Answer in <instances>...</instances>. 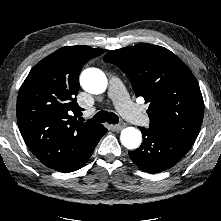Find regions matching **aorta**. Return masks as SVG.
<instances>
[{
    "instance_id": "1",
    "label": "aorta",
    "mask_w": 221,
    "mask_h": 221,
    "mask_svg": "<svg viewBox=\"0 0 221 221\" xmlns=\"http://www.w3.org/2000/svg\"><path fill=\"white\" fill-rule=\"evenodd\" d=\"M82 88L91 94H102L105 92L108 82L105 74L97 68H87L80 75ZM120 140L127 149H136L142 141L141 132L134 127L122 130Z\"/></svg>"
}]
</instances>
